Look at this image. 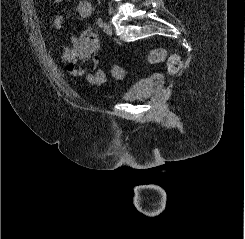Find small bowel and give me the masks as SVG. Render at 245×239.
<instances>
[{"label": "small bowel", "mask_w": 245, "mask_h": 239, "mask_svg": "<svg viewBox=\"0 0 245 239\" xmlns=\"http://www.w3.org/2000/svg\"><path fill=\"white\" fill-rule=\"evenodd\" d=\"M64 0H54L58 5ZM77 11L82 18L92 15V5L88 0H79ZM53 26L57 32L64 30L65 18L61 14L53 17ZM99 41L93 29L88 28L78 36L71 38L69 46L63 48L61 58L68 65L72 77H84L90 86H100L107 82L108 76L99 67Z\"/></svg>", "instance_id": "c3829d8e"}]
</instances>
